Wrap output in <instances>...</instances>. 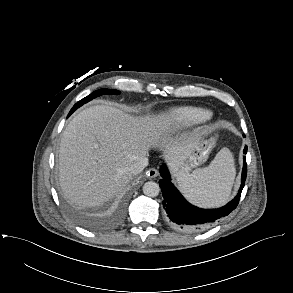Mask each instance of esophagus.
Instances as JSON below:
<instances>
[{
  "label": "esophagus",
  "mask_w": 293,
  "mask_h": 293,
  "mask_svg": "<svg viewBox=\"0 0 293 293\" xmlns=\"http://www.w3.org/2000/svg\"><path fill=\"white\" fill-rule=\"evenodd\" d=\"M146 176L150 179L156 178L158 176V170L155 168H150L146 171Z\"/></svg>",
  "instance_id": "esophagus-1"
}]
</instances>
